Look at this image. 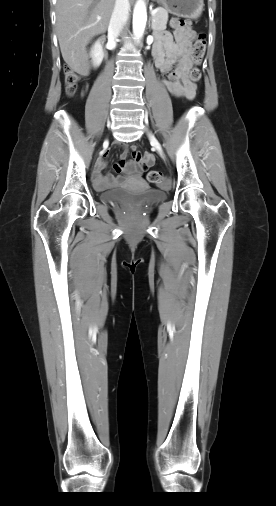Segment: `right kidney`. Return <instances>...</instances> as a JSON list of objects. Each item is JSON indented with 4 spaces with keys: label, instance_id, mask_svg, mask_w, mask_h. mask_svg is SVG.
Here are the masks:
<instances>
[{
    "label": "right kidney",
    "instance_id": "ca27d5eb",
    "mask_svg": "<svg viewBox=\"0 0 276 506\" xmlns=\"http://www.w3.org/2000/svg\"><path fill=\"white\" fill-rule=\"evenodd\" d=\"M90 56L92 57V63L94 67H98L103 59L102 48L99 44H95L90 52Z\"/></svg>",
    "mask_w": 276,
    "mask_h": 506
}]
</instances>
